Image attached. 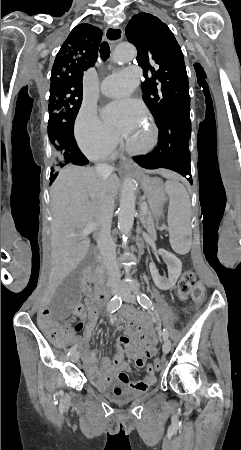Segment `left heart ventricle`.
<instances>
[{"mask_svg":"<svg viewBox=\"0 0 241 450\" xmlns=\"http://www.w3.org/2000/svg\"><path fill=\"white\" fill-rule=\"evenodd\" d=\"M148 122H139L132 126L127 135V150L135 153H142L144 151L143 141L149 137Z\"/></svg>","mask_w":241,"mask_h":450,"instance_id":"1","label":"left heart ventricle"}]
</instances>
